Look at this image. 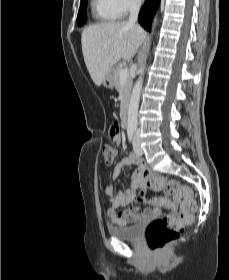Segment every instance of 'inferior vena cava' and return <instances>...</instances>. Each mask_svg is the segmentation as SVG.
I'll return each instance as SVG.
<instances>
[{
	"instance_id": "obj_1",
	"label": "inferior vena cava",
	"mask_w": 229,
	"mask_h": 280,
	"mask_svg": "<svg viewBox=\"0 0 229 280\" xmlns=\"http://www.w3.org/2000/svg\"><path fill=\"white\" fill-rule=\"evenodd\" d=\"M141 1L140 0H132L130 3V16L128 23L135 24L138 19V14L140 10Z\"/></svg>"
}]
</instances>
